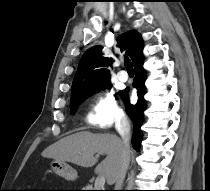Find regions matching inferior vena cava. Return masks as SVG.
I'll list each match as a JSON object with an SVG mask.
<instances>
[{
    "instance_id": "602c4592",
    "label": "inferior vena cava",
    "mask_w": 210,
    "mask_h": 191,
    "mask_svg": "<svg viewBox=\"0 0 210 191\" xmlns=\"http://www.w3.org/2000/svg\"><path fill=\"white\" fill-rule=\"evenodd\" d=\"M116 130L122 138L120 164L115 177V190H121L130 162V123L122 116L116 123Z\"/></svg>"
}]
</instances>
